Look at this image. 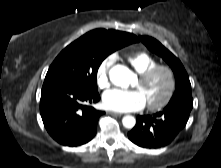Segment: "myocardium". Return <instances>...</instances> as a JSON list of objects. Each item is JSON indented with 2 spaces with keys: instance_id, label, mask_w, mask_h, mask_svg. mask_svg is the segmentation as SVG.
Segmentation results:
<instances>
[{
  "instance_id": "obj_1",
  "label": "myocardium",
  "mask_w": 221,
  "mask_h": 168,
  "mask_svg": "<svg viewBox=\"0 0 221 168\" xmlns=\"http://www.w3.org/2000/svg\"><path fill=\"white\" fill-rule=\"evenodd\" d=\"M164 72L168 78V89L163 99L157 103H147V107L151 111H158L166 107L171 101L176 90V76L174 70L163 64H157L156 66L146 70L139 74V80L141 83H146L151 80L157 73Z\"/></svg>"
}]
</instances>
